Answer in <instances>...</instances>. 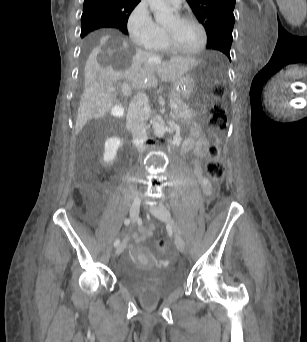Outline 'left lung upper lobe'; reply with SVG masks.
<instances>
[{"label": "left lung upper lobe", "mask_w": 307, "mask_h": 342, "mask_svg": "<svg viewBox=\"0 0 307 342\" xmlns=\"http://www.w3.org/2000/svg\"><path fill=\"white\" fill-rule=\"evenodd\" d=\"M198 21L206 29L207 48L223 52L230 58L235 22V0H187Z\"/></svg>", "instance_id": "obj_1"}]
</instances>
